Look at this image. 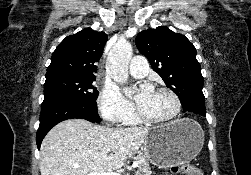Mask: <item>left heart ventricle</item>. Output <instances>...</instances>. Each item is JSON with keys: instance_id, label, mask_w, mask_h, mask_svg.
<instances>
[{"instance_id": "b2bd125f", "label": "left heart ventricle", "mask_w": 251, "mask_h": 175, "mask_svg": "<svg viewBox=\"0 0 251 175\" xmlns=\"http://www.w3.org/2000/svg\"><path fill=\"white\" fill-rule=\"evenodd\" d=\"M139 110L152 117L168 119L176 113V104L168 92L154 90L146 104L139 102Z\"/></svg>"}]
</instances>
